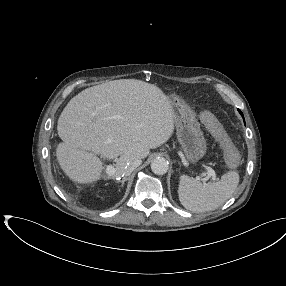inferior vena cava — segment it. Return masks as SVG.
<instances>
[{"instance_id": "obj_1", "label": "inferior vena cava", "mask_w": 286, "mask_h": 286, "mask_svg": "<svg viewBox=\"0 0 286 286\" xmlns=\"http://www.w3.org/2000/svg\"><path fill=\"white\" fill-rule=\"evenodd\" d=\"M142 160L140 158H133L127 160L126 164L124 165V173L126 176L130 175L138 166H140Z\"/></svg>"}]
</instances>
